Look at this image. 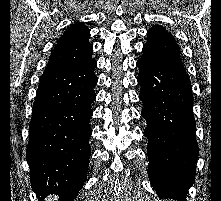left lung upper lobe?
Wrapping results in <instances>:
<instances>
[{"label":"left lung upper lobe","mask_w":221,"mask_h":201,"mask_svg":"<svg viewBox=\"0 0 221 201\" xmlns=\"http://www.w3.org/2000/svg\"><path fill=\"white\" fill-rule=\"evenodd\" d=\"M147 37L142 57L160 65L185 71L180 59L179 46L164 27L153 26L148 30Z\"/></svg>","instance_id":"obj_1"}]
</instances>
